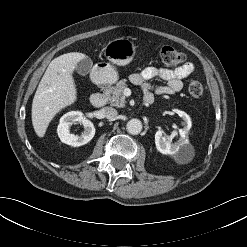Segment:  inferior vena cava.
I'll list each match as a JSON object with an SVG mask.
<instances>
[{
    "label": "inferior vena cava",
    "mask_w": 247,
    "mask_h": 247,
    "mask_svg": "<svg viewBox=\"0 0 247 247\" xmlns=\"http://www.w3.org/2000/svg\"><path fill=\"white\" fill-rule=\"evenodd\" d=\"M103 116L107 119H114L116 118V116L118 115V112L116 109L112 108V107H104L101 110Z\"/></svg>",
    "instance_id": "obj_1"
}]
</instances>
